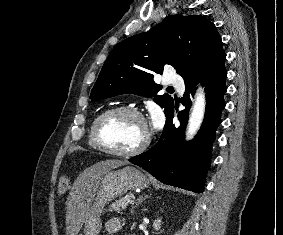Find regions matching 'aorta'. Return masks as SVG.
Masks as SVG:
<instances>
[{
    "mask_svg": "<svg viewBox=\"0 0 283 235\" xmlns=\"http://www.w3.org/2000/svg\"><path fill=\"white\" fill-rule=\"evenodd\" d=\"M205 107H206V99L204 91L199 88L195 95L194 104L192 106V111L189 116L187 130H186V139H192L198 130L201 127V124L204 119L205 114Z\"/></svg>",
    "mask_w": 283,
    "mask_h": 235,
    "instance_id": "aorta-1",
    "label": "aorta"
}]
</instances>
